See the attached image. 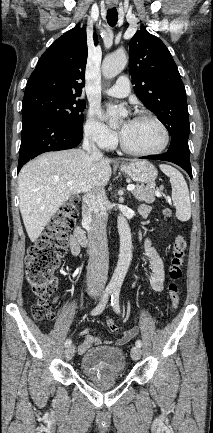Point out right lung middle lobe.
I'll return each instance as SVG.
<instances>
[{
	"mask_svg": "<svg viewBox=\"0 0 213 433\" xmlns=\"http://www.w3.org/2000/svg\"><path fill=\"white\" fill-rule=\"evenodd\" d=\"M85 107V102L77 99V96L38 93L24 96L22 114L37 112L56 120L78 133H82V112Z\"/></svg>",
	"mask_w": 213,
	"mask_h": 433,
	"instance_id": "right-lung-middle-lobe-1",
	"label": "right lung middle lobe"
}]
</instances>
